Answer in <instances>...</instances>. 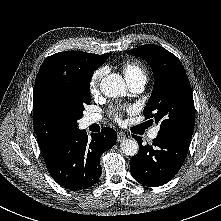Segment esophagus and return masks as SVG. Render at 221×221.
<instances>
[{
  "label": "esophagus",
  "instance_id": "obj_1",
  "mask_svg": "<svg viewBox=\"0 0 221 221\" xmlns=\"http://www.w3.org/2000/svg\"><path fill=\"white\" fill-rule=\"evenodd\" d=\"M125 138H126V135H125L124 132H118V133H117V141H118V142L122 141V140L125 139Z\"/></svg>",
  "mask_w": 221,
  "mask_h": 221
}]
</instances>
